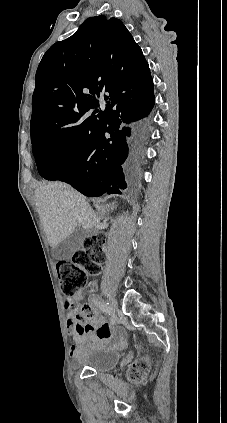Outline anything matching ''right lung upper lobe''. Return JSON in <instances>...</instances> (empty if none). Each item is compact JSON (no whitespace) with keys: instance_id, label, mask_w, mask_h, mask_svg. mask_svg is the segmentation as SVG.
<instances>
[{"instance_id":"right-lung-upper-lobe-1","label":"right lung upper lobe","mask_w":227,"mask_h":423,"mask_svg":"<svg viewBox=\"0 0 227 423\" xmlns=\"http://www.w3.org/2000/svg\"><path fill=\"white\" fill-rule=\"evenodd\" d=\"M152 90L148 63L124 24L114 17H90L71 37L53 44L39 64L31 141L55 135L93 137L112 104ZM102 92L108 94L105 112L95 115Z\"/></svg>"}]
</instances>
